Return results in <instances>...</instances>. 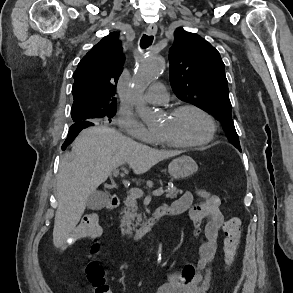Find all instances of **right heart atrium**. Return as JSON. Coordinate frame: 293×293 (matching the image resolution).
I'll return each mask as SVG.
<instances>
[{
    "label": "right heart atrium",
    "mask_w": 293,
    "mask_h": 293,
    "mask_svg": "<svg viewBox=\"0 0 293 293\" xmlns=\"http://www.w3.org/2000/svg\"><path fill=\"white\" fill-rule=\"evenodd\" d=\"M118 127L131 137L146 143L156 140V136L136 120L132 113L120 110L116 120Z\"/></svg>",
    "instance_id": "1"
}]
</instances>
